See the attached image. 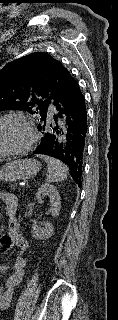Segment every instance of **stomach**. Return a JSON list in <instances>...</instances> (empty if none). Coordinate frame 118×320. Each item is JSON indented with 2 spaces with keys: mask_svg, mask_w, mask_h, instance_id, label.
I'll use <instances>...</instances> for the list:
<instances>
[{
  "mask_svg": "<svg viewBox=\"0 0 118 320\" xmlns=\"http://www.w3.org/2000/svg\"><path fill=\"white\" fill-rule=\"evenodd\" d=\"M42 164L34 158L14 159L0 167V181L26 180L37 175Z\"/></svg>",
  "mask_w": 118,
  "mask_h": 320,
  "instance_id": "obj_1",
  "label": "stomach"
}]
</instances>
